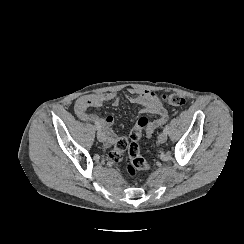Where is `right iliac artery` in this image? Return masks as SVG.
<instances>
[{"mask_svg": "<svg viewBox=\"0 0 244 244\" xmlns=\"http://www.w3.org/2000/svg\"><path fill=\"white\" fill-rule=\"evenodd\" d=\"M95 125L98 131L101 130V125L99 124V122L95 121Z\"/></svg>", "mask_w": 244, "mask_h": 244, "instance_id": "1", "label": "right iliac artery"}]
</instances>
